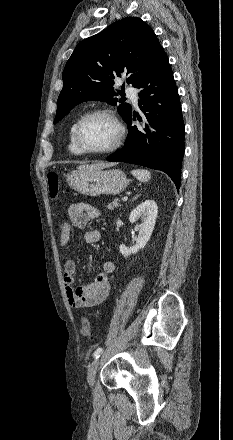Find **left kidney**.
Segmentation results:
<instances>
[{"label":"left kidney","mask_w":233,"mask_h":440,"mask_svg":"<svg viewBox=\"0 0 233 440\" xmlns=\"http://www.w3.org/2000/svg\"><path fill=\"white\" fill-rule=\"evenodd\" d=\"M157 214L158 206L153 200L144 201L130 213L129 220L131 223H136L138 220H141V223L138 225L139 236L136 244L132 247H126L124 244L120 245L119 250L124 257L135 254L145 247L154 230Z\"/></svg>","instance_id":"left-kidney-1"}]
</instances>
